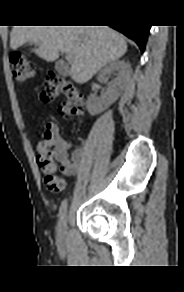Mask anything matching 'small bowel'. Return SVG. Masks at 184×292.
Instances as JSON below:
<instances>
[{"mask_svg": "<svg viewBox=\"0 0 184 292\" xmlns=\"http://www.w3.org/2000/svg\"><path fill=\"white\" fill-rule=\"evenodd\" d=\"M50 144L55 151L60 172L65 176L77 174L83 164L82 147L62 137L56 127ZM71 148H73V151L69 155L68 150Z\"/></svg>", "mask_w": 184, "mask_h": 292, "instance_id": "small-bowel-1", "label": "small bowel"}]
</instances>
